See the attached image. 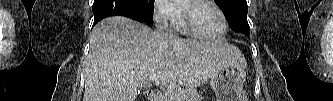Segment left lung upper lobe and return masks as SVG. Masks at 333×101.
<instances>
[{"label":"left lung upper lobe","mask_w":333,"mask_h":101,"mask_svg":"<svg viewBox=\"0 0 333 101\" xmlns=\"http://www.w3.org/2000/svg\"><path fill=\"white\" fill-rule=\"evenodd\" d=\"M225 12L230 27L235 32L248 34L249 25L247 22L246 0H214Z\"/></svg>","instance_id":"left-lung-upper-lobe-1"}]
</instances>
